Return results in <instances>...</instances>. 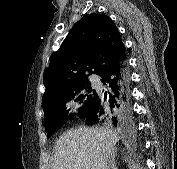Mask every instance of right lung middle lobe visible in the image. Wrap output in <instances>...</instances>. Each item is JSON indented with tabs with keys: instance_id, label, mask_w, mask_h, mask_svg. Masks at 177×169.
Masks as SVG:
<instances>
[{
	"instance_id": "1",
	"label": "right lung middle lobe",
	"mask_w": 177,
	"mask_h": 169,
	"mask_svg": "<svg viewBox=\"0 0 177 169\" xmlns=\"http://www.w3.org/2000/svg\"><path fill=\"white\" fill-rule=\"evenodd\" d=\"M84 88L88 89L87 93L80 94L78 97H76ZM95 94V90H92L90 84L88 83L74 88L72 91L62 96L59 100L44 105V125L47 137H50L54 131L59 129L68 120L73 119V114H69V111L66 110V104L69 103V101L75 99V102L82 104L78 112L79 116H83L93 104ZM127 122H121L117 127H124Z\"/></svg>"
}]
</instances>
